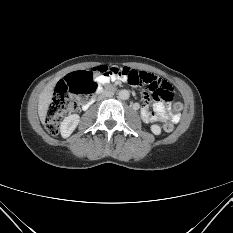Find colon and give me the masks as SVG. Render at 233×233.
<instances>
[{"mask_svg":"<svg viewBox=\"0 0 233 233\" xmlns=\"http://www.w3.org/2000/svg\"><path fill=\"white\" fill-rule=\"evenodd\" d=\"M119 76L125 78L132 86L141 87L150 91L155 98L164 101H171L173 89L171 85L161 79L154 78L145 72H139L127 67L99 66L93 72L79 71L68 75L56 85L52 101L49 105L45 126L49 133L55 135L59 132L60 122L63 116L73 109L70 95L79 100L88 98L95 91L93 76ZM172 108L178 111L181 108L179 103L173 102ZM165 132H172V123H165L162 126Z\"/></svg>","mask_w":233,"mask_h":233,"instance_id":"1","label":"colon"}]
</instances>
